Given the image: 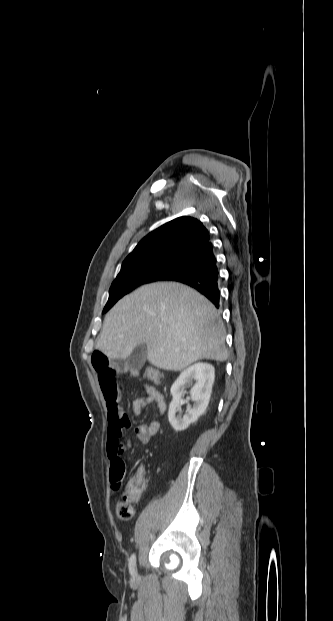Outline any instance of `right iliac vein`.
I'll use <instances>...</instances> for the list:
<instances>
[{
	"label": "right iliac vein",
	"mask_w": 333,
	"mask_h": 621,
	"mask_svg": "<svg viewBox=\"0 0 333 621\" xmlns=\"http://www.w3.org/2000/svg\"><path fill=\"white\" fill-rule=\"evenodd\" d=\"M137 578V573H135V575L133 576V579Z\"/></svg>",
	"instance_id": "right-iliac-vein-1"
}]
</instances>
